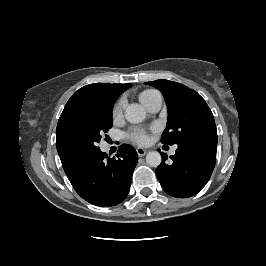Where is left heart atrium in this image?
Listing matches in <instances>:
<instances>
[{"label": "left heart atrium", "mask_w": 266, "mask_h": 266, "mask_svg": "<svg viewBox=\"0 0 266 266\" xmlns=\"http://www.w3.org/2000/svg\"><path fill=\"white\" fill-rule=\"evenodd\" d=\"M128 138L139 145H146L150 141L148 132L144 128H134L128 133Z\"/></svg>", "instance_id": "obj_1"}]
</instances>
